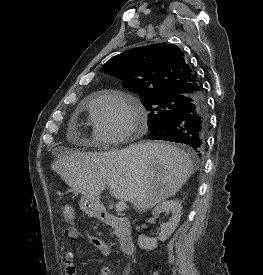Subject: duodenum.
Masks as SVG:
<instances>
[{"instance_id": "410a0bca", "label": "duodenum", "mask_w": 263, "mask_h": 275, "mask_svg": "<svg viewBox=\"0 0 263 275\" xmlns=\"http://www.w3.org/2000/svg\"><path fill=\"white\" fill-rule=\"evenodd\" d=\"M100 219L104 223L111 225L115 228L121 251L125 255L133 254L135 250V243L129 220L123 217L116 216L107 211H103L100 214Z\"/></svg>"}]
</instances>
